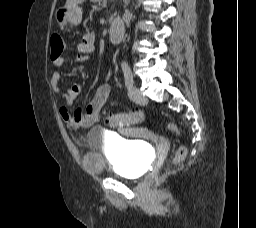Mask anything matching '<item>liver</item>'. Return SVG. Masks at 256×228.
<instances>
[{"label":"liver","mask_w":256,"mask_h":228,"mask_svg":"<svg viewBox=\"0 0 256 228\" xmlns=\"http://www.w3.org/2000/svg\"><path fill=\"white\" fill-rule=\"evenodd\" d=\"M84 1L85 0H67L65 6L70 8V7L76 6Z\"/></svg>","instance_id":"liver-1"}]
</instances>
